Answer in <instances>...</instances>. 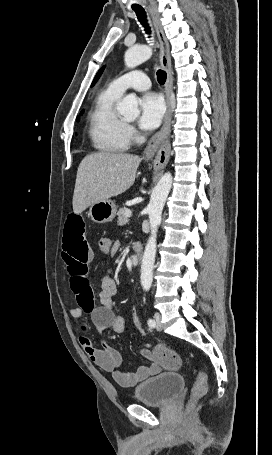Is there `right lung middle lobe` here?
<instances>
[{"label": "right lung middle lobe", "instance_id": "right-lung-middle-lobe-1", "mask_svg": "<svg viewBox=\"0 0 272 455\" xmlns=\"http://www.w3.org/2000/svg\"><path fill=\"white\" fill-rule=\"evenodd\" d=\"M83 113V111H81V114ZM79 120V117H77V121Z\"/></svg>", "mask_w": 272, "mask_h": 455}]
</instances>
